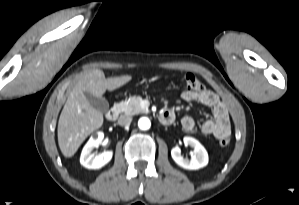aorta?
<instances>
[{"label": "aorta", "instance_id": "obj_1", "mask_svg": "<svg viewBox=\"0 0 299 205\" xmlns=\"http://www.w3.org/2000/svg\"><path fill=\"white\" fill-rule=\"evenodd\" d=\"M138 126L141 130H148L151 126V122H150L149 118L142 117L138 121Z\"/></svg>", "mask_w": 299, "mask_h": 205}]
</instances>
